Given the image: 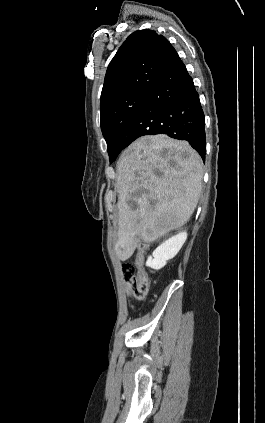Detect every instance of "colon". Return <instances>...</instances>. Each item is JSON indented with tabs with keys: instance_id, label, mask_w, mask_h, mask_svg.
Listing matches in <instances>:
<instances>
[{
	"instance_id": "obj_1",
	"label": "colon",
	"mask_w": 265,
	"mask_h": 423,
	"mask_svg": "<svg viewBox=\"0 0 265 423\" xmlns=\"http://www.w3.org/2000/svg\"><path fill=\"white\" fill-rule=\"evenodd\" d=\"M123 275L128 283V294L137 299H142L148 291V278L141 268V263L126 262L122 265Z\"/></svg>"
}]
</instances>
